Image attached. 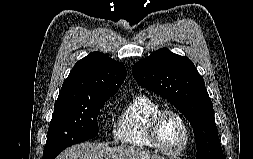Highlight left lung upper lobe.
<instances>
[{"instance_id": "1", "label": "left lung upper lobe", "mask_w": 253, "mask_h": 159, "mask_svg": "<svg viewBox=\"0 0 253 159\" xmlns=\"http://www.w3.org/2000/svg\"><path fill=\"white\" fill-rule=\"evenodd\" d=\"M137 83L165 97L193 127L196 159H218L223 153L212 101L203 78L190 59L162 48L132 69Z\"/></svg>"}]
</instances>
